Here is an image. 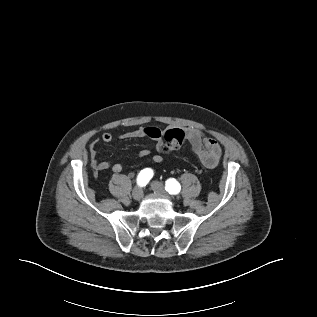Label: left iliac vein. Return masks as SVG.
Segmentation results:
<instances>
[{
    "label": "left iliac vein",
    "instance_id": "obj_1",
    "mask_svg": "<svg viewBox=\"0 0 317 317\" xmlns=\"http://www.w3.org/2000/svg\"><path fill=\"white\" fill-rule=\"evenodd\" d=\"M151 188L155 192L160 193V194L168 197L167 192L165 191L164 185L161 182L153 181L151 183Z\"/></svg>",
    "mask_w": 317,
    "mask_h": 317
}]
</instances>
